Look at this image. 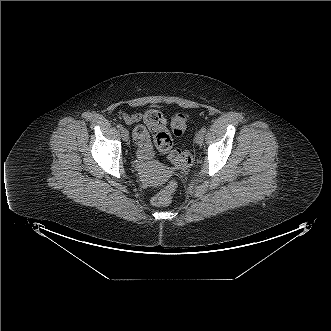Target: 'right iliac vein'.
I'll list each match as a JSON object with an SVG mask.
<instances>
[{"label":"right iliac vein","mask_w":331,"mask_h":331,"mask_svg":"<svg viewBox=\"0 0 331 331\" xmlns=\"http://www.w3.org/2000/svg\"><path fill=\"white\" fill-rule=\"evenodd\" d=\"M121 137H122V139H123L124 141H128V139H129V132H128L127 129L123 128V129L121 130Z\"/></svg>","instance_id":"1"}]
</instances>
